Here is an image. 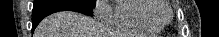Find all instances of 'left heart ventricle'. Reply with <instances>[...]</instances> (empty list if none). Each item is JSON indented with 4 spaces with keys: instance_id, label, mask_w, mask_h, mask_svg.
Returning <instances> with one entry per match:
<instances>
[{
    "instance_id": "obj_1",
    "label": "left heart ventricle",
    "mask_w": 219,
    "mask_h": 37,
    "mask_svg": "<svg viewBox=\"0 0 219 37\" xmlns=\"http://www.w3.org/2000/svg\"><path fill=\"white\" fill-rule=\"evenodd\" d=\"M170 17V12L166 6L161 7L156 13V18L160 21H166Z\"/></svg>"
}]
</instances>
